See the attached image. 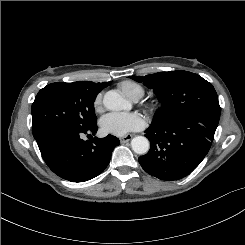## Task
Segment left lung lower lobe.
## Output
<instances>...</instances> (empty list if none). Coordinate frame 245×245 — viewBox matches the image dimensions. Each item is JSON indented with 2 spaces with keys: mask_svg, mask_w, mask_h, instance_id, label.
Segmentation results:
<instances>
[{
  "mask_svg": "<svg viewBox=\"0 0 245 245\" xmlns=\"http://www.w3.org/2000/svg\"><path fill=\"white\" fill-rule=\"evenodd\" d=\"M219 118L192 115L164 126H150L146 137L149 152L140 156L142 168L161 180H179L204 159L213 141Z\"/></svg>",
  "mask_w": 245,
  "mask_h": 245,
  "instance_id": "0a47b994",
  "label": "left lung lower lobe"
}]
</instances>
